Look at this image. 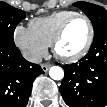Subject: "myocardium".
<instances>
[{
  "instance_id": "f54148a6",
  "label": "myocardium",
  "mask_w": 107,
  "mask_h": 107,
  "mask_svg": "<svg viewBox=\"0 0 107 107\" xmlns=\"http://www.w3.org/2000/svg\"><path fill=\"white\" fill-rule=\"evenodd\" d=\"M76 18H81L86 21V23L89 27L88 39H87L84 47L78 53H76L72 56L61 55L57 51L58 44L61 42V40L64 36V33H65L67 27L69 26V24ZM93 40H94V26H93L92 21L90 20V18L87 15L82 14V13H76V14L70 16L69 18H67L63 22V24L60 26L57 33L55 34L51 46H52V50H53V53L56 56V58H58L59 60H61L63 62H66V63H74V62L80 60L81 58H83L88 53V51L90 50V48L92 46Z\"/></svg>"
}]
</instances>
